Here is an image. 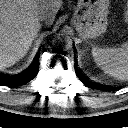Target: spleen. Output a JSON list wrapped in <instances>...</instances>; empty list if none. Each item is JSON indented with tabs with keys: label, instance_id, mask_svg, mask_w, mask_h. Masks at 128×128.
<instances>
[{
	"label": "spleen",
	"instance_id": "1",
	"mask_svg": "<svg viewBox=\"0 0 128 128\" xmlns=\"http://www.w3.org/2000/svg\"><path fill=\"white\" fill-rule=\"evenodd\" d=\"M94 61L106 74L120 81L128 80V43L121 48H92Z\"/></svg>",
	"mask_w": 128,
	"mask_h": 128
}]
</instances>
